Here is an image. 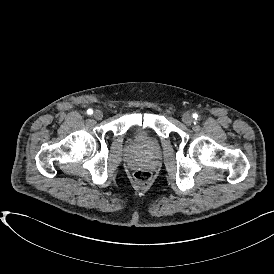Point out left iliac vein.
I'll return each mask as SVG.
<instances>
[{
	"mask_svg": "<svg viewBox=\"0 0 274 274\" xmlns=\"http://www.w3.org/2000/svg\"><path fill=\"white\" fill-rule=\"evenodd\" d=\"M182 121L186 124V125H190L193 122V118L191 116V114H189L188 112L184 113L182 116Z\"/></svg>",
	"mask_w": 274,
	"mask_h": 274,
	"instance_id": "1",
	"label": "left iliac vein"
}]
</instances>
